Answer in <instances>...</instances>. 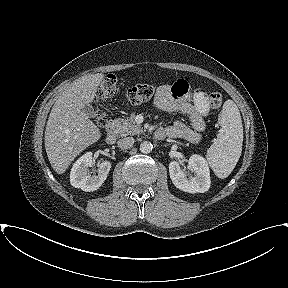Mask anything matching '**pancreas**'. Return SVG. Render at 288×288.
Returning <instances> with one entry per match:
<instances>
[{
  "mask_svg": "<svg viewBox=\"0 0 288 288\" xmlns=\"http://www.w3.org/2000/svg\"><path fill=\"white\" fill-rule=\"evenodd\" d=\"M113 122L116 127L115 132L121 137L137 135L143 132L141 126L134 121L133 116L129 119L117 118Z\"/></svg>",
  "mask_w": 288,
  "mask_h": 288,
  "instance_id": "1",
  "label": "pancreas"
}]
</instances>
